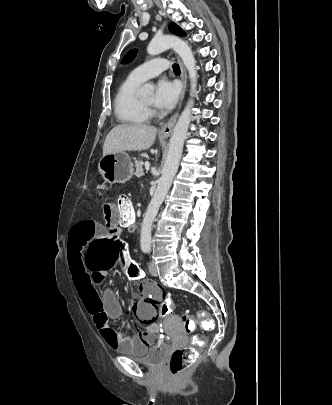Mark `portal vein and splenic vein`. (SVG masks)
Instances as JSON below:
<instances>
[{
  "label": "portal vein and splenic vein",
  "mask_w": 332,
  "mask_h": 405,
  "mask_svg": "<svg viewBox=\"0 0 332 405\" xmlns=\"http://www.w3.org/2000/svg\"><path fill=\"white\" fill-rule=\"evenodd\" d=\"M149 167H150V164H149V163H146V164H145V168H146V169H149Z\"/></svg>",
  "instance_id": "1"
}]
</instances>
